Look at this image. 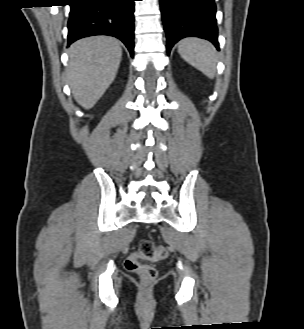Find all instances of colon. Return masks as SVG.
Here are the masks:
<instances>
[{
	"label": "colon",
	"mask_w": 304,
	"mask_h": 329,
	"mask_svg": "<svg viewBox=\"0 0 304 329\" xmlns=\"http://www.w3.org/2000/svg\"><path fill=\"white\" fill-rule=\"evenodd\" d=\"M166 257L167 252L163 246L156 245L151 240H144L140 243L138 251L125 259L124 267L128 271L138 274L142 282L150 283L157 276L156 269L152 265L142 263L140 259L158 262Z\"/></svg>",
	"instance_id": "colon-1"
}]
</instances>
